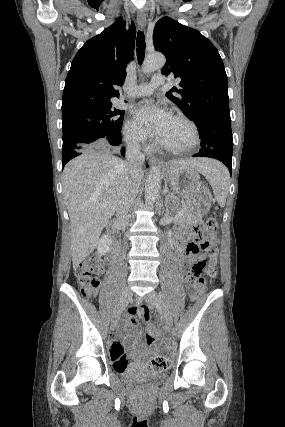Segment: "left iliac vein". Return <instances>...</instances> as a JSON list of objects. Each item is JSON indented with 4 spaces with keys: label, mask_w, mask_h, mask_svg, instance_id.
<instances>
[{
    "label": "left iliac vein",
    "mask_w": 285,
    "mask_h": 427,
    "mask_svg": "<svg viewBox=\"0 0 285 427\" xmlns=\"http://www.w3.org/2000/svg\"><path fill=\"white\" fill-rule=\"evenodd\" d=\"M145 301L155 307L163 316L164 321L166 323V325L168 326V330L169 332H173V320H172V316L167 308V306L165 305V303L163 302L162 298L154 291L148 293L145 297H144Z\"/></svg>",
    "instance_id": "obj_1"
}]
</instances>
